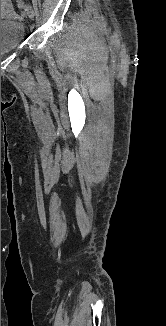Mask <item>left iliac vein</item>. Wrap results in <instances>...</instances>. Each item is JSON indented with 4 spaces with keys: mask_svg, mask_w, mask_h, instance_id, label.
Returning <instances> with one entry per match:
<instances>
[{
    "mask_svg": "<svg viewBox=\"0 0 166 326\" xmlns=\"http://www.w3.org/2000/svg\"><path fill=\"white\" fill-rule=\"evenodd\" d=\"M25 11H26L27 16H28L31 20H33L34 17H35V12H34L33 7H32L31 5H27Z\"/></svg>",
    "mask_w": 166,
    "mask_h": 326,
    "instance_id": "obj_1",
    "label": "left iliac vein"
}]
</instances>
